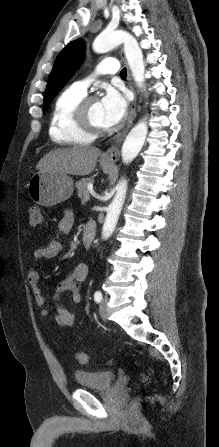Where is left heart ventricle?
I'll list each match as a JSON object with an SVG mask.
<instances>
[{"label": "left heart ventricle", "mask_w": 219, "mask_h": 447, "mask_svg": "<svg viewBox=\"0 0 219 447\" xmlns=\"http://www.w3.org/2000/svg\"><path fill=\"white\" fill-rule=\"evenodd\" d=\"M90 114L92 121L99 125V126H105L103 123V111L102 107L100 105V102L95 101L91 105Z\"/></svg>", "instance_id": "left-heart-ventricle-1"}]
</instances>
